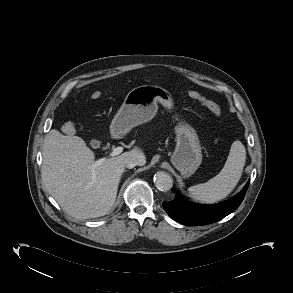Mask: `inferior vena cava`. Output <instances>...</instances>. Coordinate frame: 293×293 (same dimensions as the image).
<instances>
[{
	"mask_svg": "<svg viewBox=\"0 0 293 293\" xmlns=\"http://www.w3.org/2000/svg\"><path fill=\"white\" fill-rule=\"evenodd\" d=\"M123 165L126 168L132 169L135 166L139 165V161L136 158H134V157H126L123 160Z\"/></svg>",
	"mask_w": 293,
	"mask_h": 293,
	"instance_id": "1",
	"label": "inferior vena cava"
}]
</instances>
